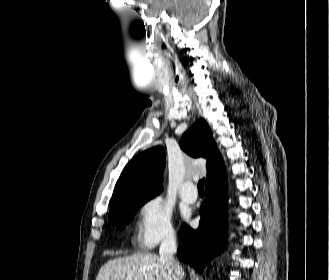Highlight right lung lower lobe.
<instances>
[{"label": "right lung lower lobe", "instance_id": "obj_1", "mask_svg": "<svg viewBox=\"0 0 329 280\" xmlns=\"http://www.w3.org/2000/svg\"><path fill=\"white\" fill-rule=\"evenodd\" d=\"M205 200L200 208L199 228L186 224L180 229L183 246L180 260L190 264L199 273L210 260L224 249L227 238V176L225 169L206 183Z\"/></svg>", "mask_w": 329, "mask_h": 280}]
</instances>
